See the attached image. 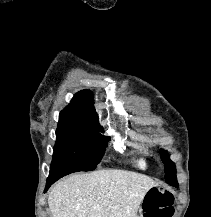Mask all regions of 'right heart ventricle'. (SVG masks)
Returning <instances> with one entry per match:
<instances>
[{
  "label": "right heart ventricle",
  "instance_id": "1",
  "mask_svg": "<svg viewBox=\"0 0 211 217\" xmlns=\"http://www.w3.org/2000/svg\"><path fill=\"white\" fill-rule=\"evenodd\" d=\"M137 165L140 167V168H146L147 167V162H146V160H144V159H139L138 161H137Z\"/></svg>",
  "mask_w": 211,
  "mask_h": 217
}]
</instances>
